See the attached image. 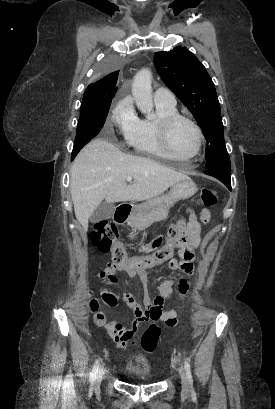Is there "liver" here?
I'll return each instance as SVG.
<instances>
[{
    "label": "liver",
    "mask_w": 275,
    "mask_h": 409,
    "mask_svg": "<svg viewBox=\"0 0 275 409\" xmlns=\"http://www.w3.org/2000/svg\"><path fill=\"white\" fill-rule=\"evenodd\" d=\"M127 176L133 182L125 184ZM188 174L176 172L145 156L124 154L105 138H94L77 154L71 168V196L75 217L84 231L102 200H149Z\"/></svg>",
    "instance_id": "6515ba94"
}]
</instances>
